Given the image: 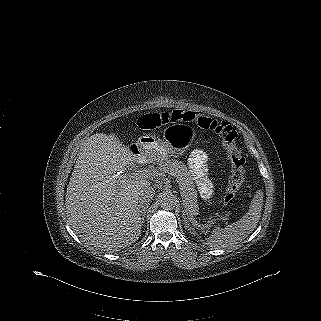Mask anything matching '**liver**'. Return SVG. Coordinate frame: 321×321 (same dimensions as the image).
Returning a JSON list of instances; mask_svg holds the SVG:
<instances>
[{"instance_id":"liver-1","label":"liver","mask_w":321,"mask_h":321,"mask_svg":"<svg viewBox=\"0 0 321 321\" xmlns=\"http://www.w3.org/2000/svg\"><path fill=\"white\" fill-rule=\"evenodd\" d=\"M139 158L114 134L97 133L82 146L66 193V214L88 245L109 252L135 243L141 235L139 190L150 181L122 174Z\"/></svg>"}]
</instances>
